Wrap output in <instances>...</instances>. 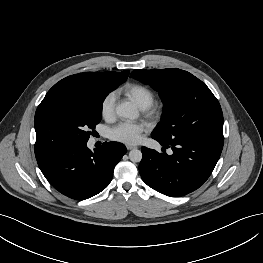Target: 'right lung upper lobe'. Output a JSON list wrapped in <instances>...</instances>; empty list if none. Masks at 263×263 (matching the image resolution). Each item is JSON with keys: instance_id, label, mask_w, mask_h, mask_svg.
<instances>
[{"instance_id": "obj_1", "label": "right lung upper lobe", "mask_w": 263, "mask_h": 263, "mask_svg": "<svg viewBox=\"0 0 263 263\" xmlns=\"http://www.w3.org/2000/svg\"><path fill=\"white\" fill-rule=\"evenodd\" d=\"M130 71L123 72H85L68 76L58 83H56L46 94L45 98L61 95H71L78 93L88 87L102 80H125Z\"/></svg>"}]
</instances>
